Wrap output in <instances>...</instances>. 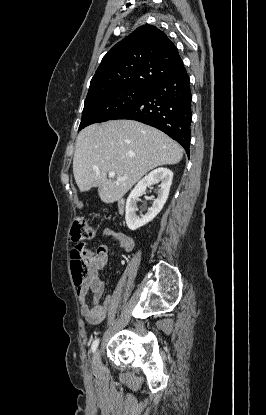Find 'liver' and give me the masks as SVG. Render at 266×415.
Listing matches in <instances>:
<instances>
[{
	"instance_id": "liver-1",
	"label": "liver",
	"mask_w": 266,
	"mask_h": 415,
	"mask_svg": "<svg viewBox=\"0 0 266 415\" xmlns=\"http://www.w3.org/2000/svg\"><path fill=\"white\" fill-rule=\"evenodd\" d=\"M182 157L181 146L158 129L133 120H114L79 132L73 173L81 192L98 188L101 201L109 204L120 200L150 170L177 164ZM110 171L116 179L107 178Z\"/></svg>"
}]
</instances>
